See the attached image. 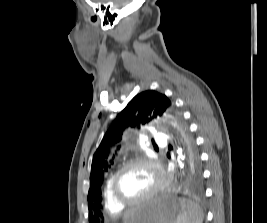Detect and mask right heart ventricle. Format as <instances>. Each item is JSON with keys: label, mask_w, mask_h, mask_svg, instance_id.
I'll return each mask as SVG.
<instances>
[{"label": "right heart ventricle", "mask_w": 267, "mask_h": 223, "mask_svg": "<svg viewBox=\"0 0 267 223\" xmlns=\"http://www.w3.org/2000/svg\"><path fill=\"white\" fill-rule=\"evenodd\" d=\"M112 175H110L105 182L104 189H103V201H104V206L106 210L110 214H119L124 211V207L120 206L117 204L110 192V180H111Z\"/></svg>", "instance_id": "e07e8e85"}]
</instances>
